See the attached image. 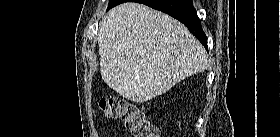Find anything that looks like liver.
I'll return each instance as SVG.
<instances>
[{
  "label": "liver",
  "instance_id": "obj_1",
  "mask_svg": "<svg viewBox=\"0 0 280 137\" xmlns=\"http://www.w3.org/2000/svg\"><path fill=\"white\" fill-rule=\"evenodd\" d=\"M97 40L102 79L133 102L162 95L207 68L205 49L188 29L143 4L123 3L111 9Z\"/></svg>",
  "mask_w": 280,
  "mask_h": 137
}]
</instances>
